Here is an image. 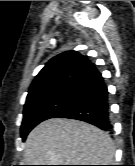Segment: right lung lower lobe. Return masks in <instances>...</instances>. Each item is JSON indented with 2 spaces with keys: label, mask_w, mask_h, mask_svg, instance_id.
<instances>
[{
  "label": "right lung lower lobe",
  "mask_w": 135,
  "mask_h": 166,
  "mask_svg": "<svg viewBox=\"0 0 135 166\" xmlns=\"http://www.w3.org/2000/svg\"><path fill=\"white\" fill-rule=\"evenodd\" d=\"M68 87L72 98L66 109L55 118L85 121L111 133L108 90L101 74L95 70Z\"/></svg>",
  "instance_id": "obj_1"
}]
</instances>
